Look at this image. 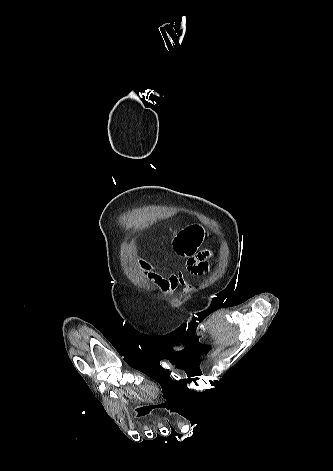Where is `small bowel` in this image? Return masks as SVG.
<instances>
[{
  "mask_svg": "<svg viewBox=\"0 0 333 471\" xmlns=\"http://www.w3.org/2000/svg\"><path fill=\"white\" fill-rule=\"evenodd\" d=\"M202 240L203 233L198 225H191L182 230L174 240L175 250L186 258L187 270L192 274H201L208 268V252L199 250ZM137 267L139 272L156 284L164 294L173 293L179 286H185L186 291L189 289L181 271L164 275L145 259H139Z\"/></svg>",
  "mask_w": 333,
  "mask_h": 471,
  "instance_id": "c3829d8e",
  "label": "small bowel"
}]
</instances>
